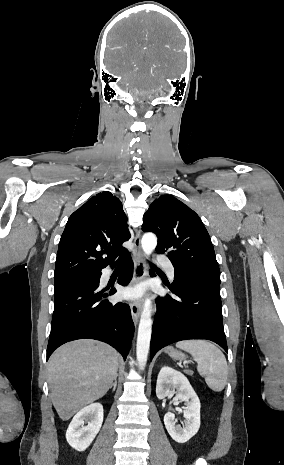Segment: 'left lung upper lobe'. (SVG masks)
<instances>
[{
    "mask_svg": "<svg viewBox=\"0 0 284 465\" xmlns=\"http://www.w3.org/2000/svg\"><path fill=\"white\" fill-rule=\"evenodd\" d=\"M142 230L158 236L156 252H168L176 274L220 285V270L210 236L199 216L173 196L157 198L144 214Z\"/></svg>",
    "mask_w": 284,
    "mask_h": 465,
    "instance_id": "1",
    "label": "left lung upper lobe"
}]
</instances>
